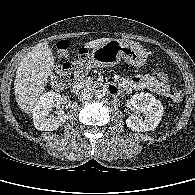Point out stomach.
I'll return each instance as SVG.
<instances>
[{"instance_id":"obj_1","label":"stomach","mask_w":195,"mask_h":195,"mask_svg":"<svg viewBox=\"0 0 195 195\" xmlns=\"http://www.w3.org/2000/svg\"><path fill=\"white\" fill-rule=\"evenodd\" d=\"M91 61L97 67H110L119 63L123 58L128 64L141 67L146 62V51L136 42L110 39L105 44L94 48Z\"/></svg>"}]
</instances>
